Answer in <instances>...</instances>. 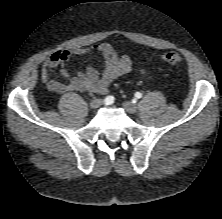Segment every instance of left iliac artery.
I'll return each instance as SVG.
<instances>
[{"label":"left iliac artery","instance_id":"left-iliac-artery-1","mask_svg":"<svg viewBox=\"0 0 222 219\" xmlns=\"http://www.w3.org/2000/svg\"><path fill=\"white\" fill-rule=\"evenodd\" d=\"M135 97L139 99V98L142 97V94H141L140 92H136V93H135Z\"/></svg>","mask_w":222,"mask_h":219}]
</instances>
